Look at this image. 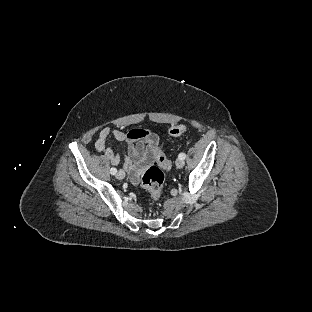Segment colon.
I'll use <instances>...</instances> for the list:
<instances>
[{
	"instance_id": "5ec220e1",
	"label": "colon",
	"mask_w": 312,
	"mask_h": 312,
	"mask_svg": "<svg viewBox=\"0 0 312 312\" xmlns=\"http://www.w3.org/2000/svg\"><path fill=\"white\" fill-rule=\"evenodd\" d=\"M184 132L182 127H174L170 133L174 136H181ZM151 134L150 130H144L141 132V136L146 137ZM157 164L165 170L171 169L170 160L163 154L157 157ZM164 174L160 170L150 167L141 178V185L147 190V192L155 199L161 198L162 188L164 184Z\"/></svg>"
}]
</instances>
